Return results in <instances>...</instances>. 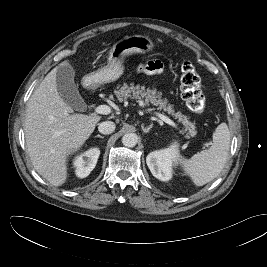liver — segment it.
I'll list each match as a JSON object with an SVG mask.
<instances>
[{"label": "liver", "instance_id": "1", "mask_svg": "<svg viewBox=\"0 0 267 267\" xmlns=\"http://www.w3.org/2000/svg\"><path fill=\"white\" fill-rule=\"evenodd\" d=\"M52 69L33 92L26 110L24 132L27 151L35 170L54 186L67 180V162L93 133L100 116L73 114L60 96L57 68Z\"/></svg>", "mask_w": 267, "mask_h": 267}]
</instances>
